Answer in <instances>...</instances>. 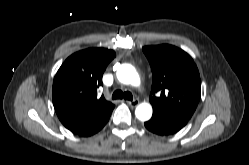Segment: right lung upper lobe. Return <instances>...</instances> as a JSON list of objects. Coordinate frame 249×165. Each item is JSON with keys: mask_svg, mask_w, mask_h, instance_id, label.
<instances>
[{"mask_svg": "<svg viewBox=\"0 0 249 165\" xmlns=\"http://www.w3.org/2000/svg\"><path fill=\"white\" fill-rule=\"evenodd\" d=\"M116 56L113 50L89 48L72 54L59 68L52 88L55 111L75 134L94 128L111 115L114 105L98 97L103 73Z\"/></svg>", "mask_w": 249, "mask_h": 165, "instance_id": "cb5924a9", "label": "right lung upper lobe"}]
</instances>
